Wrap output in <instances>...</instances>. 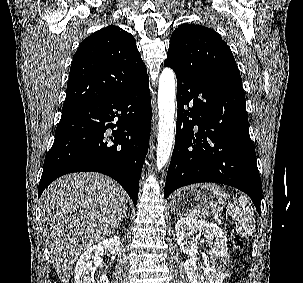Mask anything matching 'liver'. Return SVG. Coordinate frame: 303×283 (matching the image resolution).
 I'll return each instance as SVG.
<instances>
[{
  "mask_svg": "<svg viewBox=\"0 0 303 283\" xmlns=\"http://www.w3.org/2000/svg\"><path fill=\"white\" fill-rule=\"evenodd\" d=\"M126 208L127 194L123 188L99 173L68 174L44 191L43 235L63 283H69L81 253L113 234Z\"/></svg>",
  "mask_w": 303,
  "mask_h": 283,
  "instance_id": "1",
  "label": "liver"
}]
</instances>
